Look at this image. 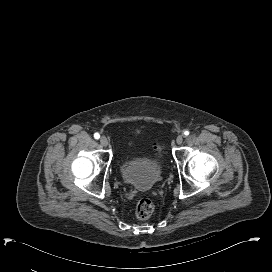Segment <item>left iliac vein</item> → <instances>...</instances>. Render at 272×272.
I'll use <instances>...</instances> for the list:
<instances>
[{"label":"left iliac vein","instance_id":"1","mask_svg":"<svg viewBox=\"0 0 272 272\" xmlns=\"http://www.w3.org/2000/svg\"><path fill=\"white\" fill-rule=\"evenodd\" d=\"M176 142L179 145L182 144L183 143V135H178L176 138Z\"/></svg>","mask_w":272,"mask_h":272}]
</instances>
